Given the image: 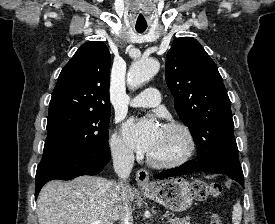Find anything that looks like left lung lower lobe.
<instances>
[{"instance_id": "0a47b994", "label": "left lung lower lobe", "mask_w": 275, "mask_h": 224, "mask_svg": "<svg viewBox=\"0 0 275 224\" xmlns=\"http://www.w3.org/2000/svg\"><path fill=\"white\" fill-rule=\"evenodd\" d=\"M214 171L220 174H225L237 181L244 187V176L242 168L239 164H220V165H207L206 162L194 160L190 163L182 165L180 167L165 170L157 175L158 179L181 176L186 173L196 172V171Z\"/></svg>"}]
</instances>
